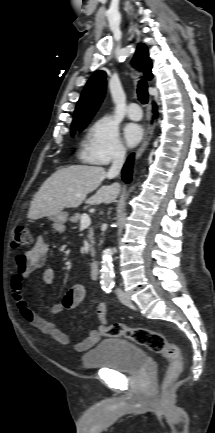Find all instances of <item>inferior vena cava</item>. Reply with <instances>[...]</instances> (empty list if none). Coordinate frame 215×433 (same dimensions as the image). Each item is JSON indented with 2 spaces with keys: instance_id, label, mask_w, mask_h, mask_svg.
I'll return each instance as SVG.
<instances>
[{
  "instance_id": "obj_1",
  "label": "inferior vena cava",
  "mask_w": 215,
  "mask_h": 433,
  "mask_svg": "<svg viewBox=\"0 0 215 433\" xmlns=\"http://www.w3.org/2000/svg\"><path fill=\"white\" fill-rule=\"evenodd\" d=\"M125 159V151L122 149H119L115 152L113 157L112 165L107 173L108 178H114L119 175Z\"/></svg>"
}]
</instances>
